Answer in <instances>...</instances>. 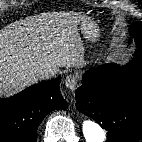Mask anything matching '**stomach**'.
Instances as JSON below:
<instances>
[{
  "label": "stomach",
  "instance_id": "0dacf381",
  "mask_svg": "<svg viewBox=\"0 0 142 142\" xmlns=\"http://www.w3.org/2000/svg\"><path fill=\"white\" fill-rule=\"evenodd\" d=\"M79 30L87 41L93 42L99 37L98 26L88 17L79 22Z\"/></svg>",
  "mask_w": 142,
  "mask_h": 142
}]
</instances>
